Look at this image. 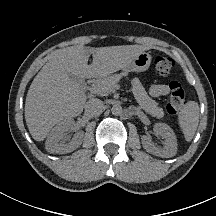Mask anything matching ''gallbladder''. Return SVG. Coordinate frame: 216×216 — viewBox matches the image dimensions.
<instances>
[{"instance_id": "bac80fb5", "label": "gallbladder", "mask_w": 216, "mask_h": 216, "mask_svg": "<svg viewBox=\"0 0 216 216\" xmlns=\"http://www.w3.org/2000/svg\"><path fill=\"white\" fill-rule=\"evenodd\" d=\"M68 75H69L70 79L73 80L74 82L81 83L80 79L77 76H75L71 73H69Z\"/></svg>"}]
</instances>
